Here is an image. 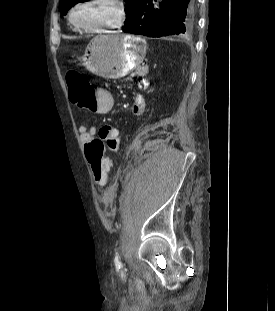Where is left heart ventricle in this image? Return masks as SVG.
Instances as JSON below:
<instances>
[{"mask_svg":"<svg viewBox=\"0 0 275 311\" xmlns=\"http://www.w3.org/2000/svg\"><path fill=\"white\" fill-rule=\"evenodd\" d=\"M114 18V9L108 4L99 2L78 9L73 16L74 21L81 25H98L111 22Z\"/></svg>","mask_w":275,"mask_h":311,"instance_id":"1","label":"left heart ventricle"}]
</instances>
